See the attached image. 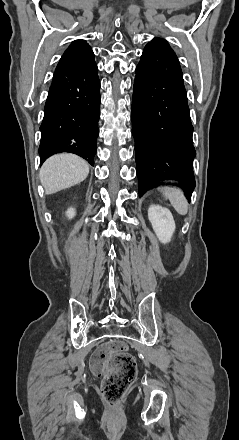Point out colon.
I'll return each mask as SVG.
<instances>
[{
    "mask_svg": "<svg viewBox=\"0 0 239 440\" xmlns=\"http://www.w3.org/2000/svg\"><path fill=\"white\" fill-rule=\"evenodd\" d=\"M91 369L102 377V393L108 403L120 401L137 374L135 358L125 344L113 341L99 347L93 354Z\"/></svg>",
    "mask_w": 239,
    "mask_h": 440,
    "instance_id": "obj_1",
    "label": "colon"
}]
</instances>
